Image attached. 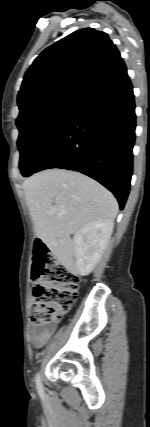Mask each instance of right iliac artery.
Segmentation results:
<instances>
[{"label": "right iliac artery", "instance_id": "right-iliac-artery-1", "mask_svg": "<svg viewBox=\"0 0 150 427\" xmlns=\"http://www.w3.org/2000/svg\"><path fill=\"white\" fill-rule=\"evenodd\" d=\"M36 387H37V390H38V393L40 394V396H43L44 390H43V385H42L41 377H40L39 373H37V375H36Z\"/></svg>", "mask_w": 150, "mask_h": 427}]
</instances>
